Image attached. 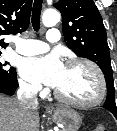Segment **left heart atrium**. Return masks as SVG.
Returning a JSON list of instances; mask_svg holds the SVG:
<instances>
[{"label":"left heart atrium","instance_id":"obj_1","mask_svg":"<svg viewBox=\"0 0 117 131\" xmlns=\"http://www.w3.org/2000/svg\"><path fill=\"white\" fill-rule=\"evenodd\" d=\"M64 68L57 55H48L23 60L20 73L27 80L57 87L62 80Z\"/></svg>","mask_w":117,"mask_h":131}]
</instances>
